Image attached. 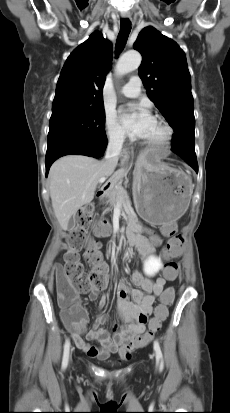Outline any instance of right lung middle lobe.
I'll list each match as a JSON object with an SVG mask.
<instances>
[{
	"label": "right lung middle lobe",
	"mask_w": 230,
	"mask_h": 413,
	"mask_svg": "<svg viewBox=\"0 0 230 413\" xmlns=\"http://www.w3.org/2000/svg\"><path fill=\"white\" fill-rule=\"evenodd\" d=\"M104 123V107L52 112L47 151L64 144L105 142Z\"/></svg>",
	"instance_id": "1"
}]
</instances>
